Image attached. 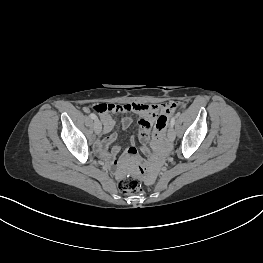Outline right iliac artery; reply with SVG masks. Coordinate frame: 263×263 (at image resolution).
Wrapping results in <instances>:
<instances>
[{
	"mask_svg": "<svg viewBox=\"0 0 263 263\" xmlns=\"http://www.w3.org/2000/svg\"><path fill=\"white\" fill-rule=\"evenodd\" d=\"M90 117H91L92 119H94V120L97 119V116H96L94 113H91V114H90Z\"/></svg>",
	"mask_w": 263,
	"mask_h": 263,
	"instance_id": "1",
	"label": "right iliac artery"
}]
</instances>
